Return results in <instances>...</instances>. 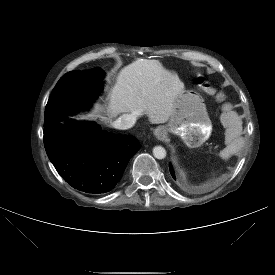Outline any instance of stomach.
Returning a JSON list of instances; mask_svg holds the SVG:
<instances>
[{"label": "stomach", "instance_id": "0dacf381", "mask_svg": "<svg viewBox=\"0 0 275 275\" xmlns=\"http://www.w3.org/2000/svg\"><path fill=\"white\" fill-rule=\"evenodd\" d=\"M202 97L181 90L173 101L167 132L179 135L189 147L200 146L211 134L212 124Z\"/></svg>", "mask_w": 275, "mask_h": 275}]
</instances>
